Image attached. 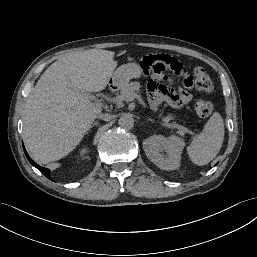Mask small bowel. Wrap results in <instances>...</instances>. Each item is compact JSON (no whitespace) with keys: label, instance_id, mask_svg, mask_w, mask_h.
I'll list each match as a JSON object with an SVG mask.
<instances>
[{"label":"small bowel","instance_id":"obj_1","mask_svg":"<svg viewBox=\"0 0 257 257\" xmlns=\"http://www.w3.org/2000/svg\"><path fill=\"white\" fill-rule=\"evenodd\" d=\"M142 68L152 74L145 82L152 108L166 102L172 108L178 109L191 101L192 96L189 92L195 88L194 78L176 57L154 52L145 57ZM174 77L183 80L184 90L176 84Z\"/></svg>","mask_w":257,"mask_h":257}]
</instances>
